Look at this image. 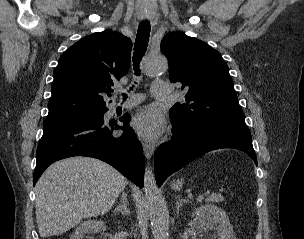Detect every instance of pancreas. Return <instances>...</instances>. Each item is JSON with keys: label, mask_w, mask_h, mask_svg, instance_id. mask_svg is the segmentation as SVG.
Returning <instances> with one entry per match:
<instances>
[{"label": "pancreas", "mask_w": 304, "mask_h": 239, "mask_svg": "<svg viewBox=\"0 0 304 239\" xmlns=\"http://www.w3.org/2000/svg\"><path fill=\"white\" fill-rule=\"evenodd\" d=\"M209 202H215V203H220L222 202L224 199L221 196L218 195H212L207 199Z\"/></svg>", "instance_id": "cf45deb5"}]
</instances>
